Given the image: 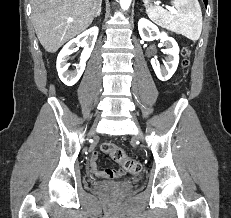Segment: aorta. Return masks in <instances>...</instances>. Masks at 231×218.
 <instances>
[{
	"instance_id": "aorta-1",
	"label": "aorta",
	"mask_w": 231,
	"mask_h": 218,
	"mask_svg": "<svg viewBox=\"0 0 231 218\" xmlns=\"http://www.w3.org/2000/svg\"><path fill=\"white\" fill-rule=\"evenodd\" d=\"M132 0H120V6L123 10H127L131 5Z\"/></svg>"
}]
</instances>
